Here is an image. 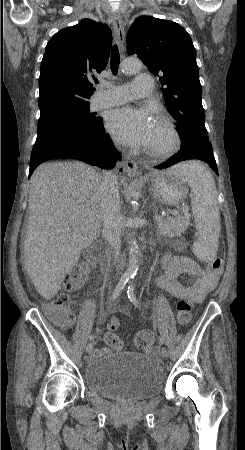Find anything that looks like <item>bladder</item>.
<instances>
[{"mask_svg": "<svg viewBox=\"0 0 245 450\" xmlns=\"http://www.w3.org/2000/svg\"><path fill=\"white\" fill-rule=\"evenodd\" d=\"M83 379L101 397L144 399L160 392L165 375L160 363L147 355L119 352L90 359Z\"/></svg>", "mask_w": 245, "mask_h": 450, "instance_id": "bladder-1", "label": "bladder"}]
</instances>
